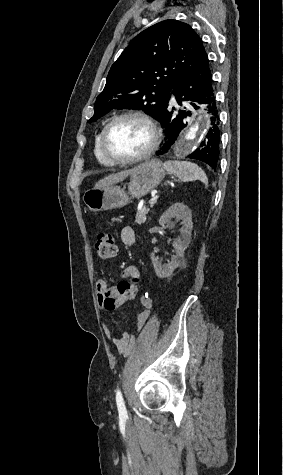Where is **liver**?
Here are the masks:
<instances>
[{
	"instance_id": "liver-1",
	"label": "liver",
	"mask_w": 283,
	"mask_h": 475,
	"mask_svg": "<svg viewBox=\"0 0 283 475\" xmlns=\"http://www.w3.org/2000/svg\"><path fill=\"white\" fill-rule=\"evenodd\" d=\"M133 170H126V172H118V174H111L107 178H103L100 182L95 184L93 190H100V188H105V186H112V184H118V182H123L125 178H128L129 174H132Z\"/></svg>"
}]
</instances>
